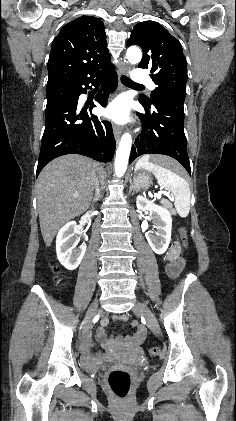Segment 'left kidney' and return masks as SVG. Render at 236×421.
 Segmentation results:
<instances>
[{
	"label": "left kidney",
	"mask_w": 236,
	"mask_h": 421,
	"mask_svg": "<svg viewBox=\"0 0 236 421\" xmlns=\"http://www.w3.org/2000/svg\"><path fill=\"white\" fill-rule=\"evenodd\" d=\"M136 206L138 211H144V213L149 211V221H152L153 229H157V233L148 231V233H145V237L152 251L157 255H163L167 251L171 239L172 219L169 211H167V208L151 202L145 196H140V194L136 198Z\"/></svg>",
	"instance_id": "5707ae66"
}]
</instances>
